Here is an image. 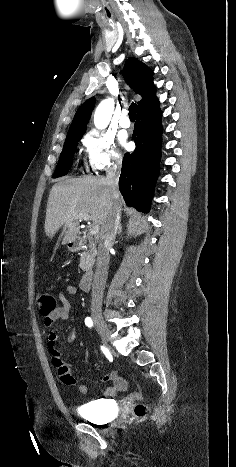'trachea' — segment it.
<instances>
[{
  "mask_svg": "<svg viewBox=\"0 0 236 467\" xmlns=\"http://www.w3.org/2000/svg\"><path fill=\"white\" fill-rule=\"evenodd\" d=\"M136 112H137V104L132 103L129 107V117L130 119H135L136 118Z\"/></svg>",
  "mask_w": 236,
  "mask_h": 467,
  "instance_id": "obj_1",
  "label": "trachea"
}]
</instances>
